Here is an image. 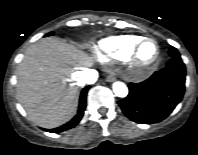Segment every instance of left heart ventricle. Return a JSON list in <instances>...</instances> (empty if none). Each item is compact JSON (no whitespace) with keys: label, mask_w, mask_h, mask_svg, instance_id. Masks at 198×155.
I'll return each instance as SVG.
<instances>
[{"label":"left heart ventricle","mask_w":198,"mask_h":155,"mask_svg":"<svg viewBox=\"0 0 198 155\" xmlns=\"http://www.w3.org/2000/svg\"><path fill=\"white\" fill-rule=\"evenodd\" d=\"M154 53H155V47L151 43L144 44L140 50V56L144 60H148L151 57H153Z\"/></svg>","instance_id":"b2bd125f"}]
</instances>
